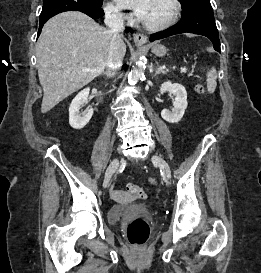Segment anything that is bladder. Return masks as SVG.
<instances>
[{"label":"bladder","instance_id":"1","mask_svg":"<svg viewBox=\"0 0 261 273\" xmlns=\"http://www.w3.org/2000/svg\"><path fill=\"white\" fill-rule=\"evenodd\" d=\"M145 208L142 205L133 203L115 204L109 211L108 218L111 223H117L127 213L132 211H143Z\"/></svg>","mask_w":261,"mask_h":273}]
</instances>
